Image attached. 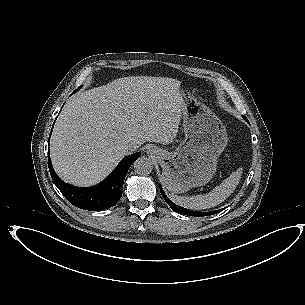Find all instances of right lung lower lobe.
I'll list each match as a JSON object with an SVG mask.
<instances>
[{
    "instance_id": "1",
    "label": "right lung lower lobe",
    "mask_w": 305,
    "mask_h": 305,
    "mask_svg": "<svg viewBox=\"0 0 305 305\" xmlns=\"http://www.w3.org/2000/svg\"><path fill=\"white\" fill-rule=\"evenodd\" d=\"M140 156L141 153L137 152L125 157L103 182L88 188L64 183L52 167L49 151L48 163L53 182L70 203L84 210L100 211L114 206L121 198L123 182L129 167Z\"/></svg>"
}]
</instances>
